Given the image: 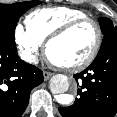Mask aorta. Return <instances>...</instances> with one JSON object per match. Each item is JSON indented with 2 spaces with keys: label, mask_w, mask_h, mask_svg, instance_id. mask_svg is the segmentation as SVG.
<instances>
[{
  "label": "aorta",
  "mask_w": 117,
  "mask_h": 117,
  "mask_svg": "<svg viewBox=\"0 0 117 117\" xmlns=\"http://www.w3.org/2000/svg\"><path fill=\"white\" fill-rule=\"evenodd\" d=\"M70 88V81L65 75H55L50 81V89L58 103L62 105H69L73 102V96L66 94Z\"/></svg>",
  "instance_id": "obj_1"
}]
</instances>
